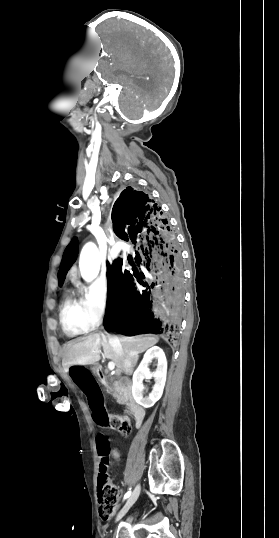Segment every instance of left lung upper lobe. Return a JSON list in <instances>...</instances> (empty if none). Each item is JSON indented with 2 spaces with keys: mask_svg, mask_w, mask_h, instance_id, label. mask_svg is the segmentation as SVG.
Segmentation results:
<instances>
[{
  "mask_svg": "<svg viewBox=\"0 0 279 538\" xmlns=\"http://www.w3.org/2000/svg\"><path fill=\"white\" fill-rule=\"evenodd\" d=\"M78 254V240L77 238H74L71 243L67 246L63 259L60 265V271L58 273L59 277V285L62 286L65 276L67 274V271L72 266V264L75 262Z\"/></svg>",
  "mask_w": 279,
  "mask_h": 538,
  "instance_id": "1",
  "label": "left lung upper lobe"
}]
</instances>
